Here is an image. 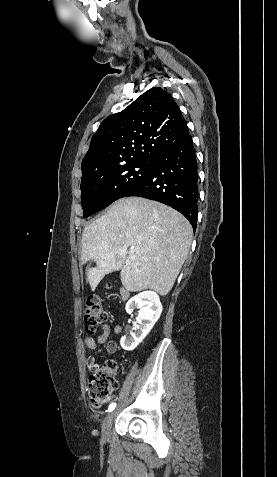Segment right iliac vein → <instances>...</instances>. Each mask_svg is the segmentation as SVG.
I'll return each instance as SVG.
<instances>
[{
	"label": "right iliac vein",
	"instance_id": "right-iliac-vein-1",
	"mask_svg": "<svg viewBox=\"0 0 277 477\" xmlns=\"http://www.w3.org/2000/svg\"><path fill=\"white\" fill-rule=\"evenodd\" d=\"M113 418H114V412H111L105 417L102 423V438L104 440H108L110 438V431H111Z\"/></svg>",
	"mask_w": 277,
	"mask_h": 477
}]
</instances>
